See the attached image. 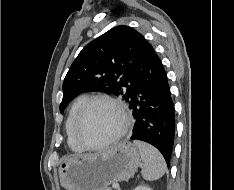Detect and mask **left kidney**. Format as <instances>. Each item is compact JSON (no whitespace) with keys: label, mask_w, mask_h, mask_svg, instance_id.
Returning a JSON list of instances; mask_svg holds the SVG:
<instances>
[{"label":"left kidney","mask_w":234,"mask_h":190,"mask_svg":"<svg viewBox=\"0 0 234 190\" xmlns=\"http://www.w3.org/2000/svg\"><path fill=\"white\" fill-rule=\"evenodd\" d=\"M134 190H152V189L146 185H141L136 187Z\"/></svg>","instance_id":"1"}]
</instances>
